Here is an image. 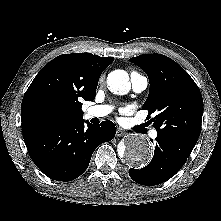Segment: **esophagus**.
<instances>
[{"mask_svg":"<svg viewBox=\"0 0 221 221\" xmlns=\"http://www.w3.org/2000/svg\"><path fill=\"white\" fill-rule=\"evenodd\" d=\"M126 133L121 128H117L116 130V136L117 137H123Z\"/></svg>","mask_w":221,"mask_h":221,"instance_id":"obj_1","label":"esophagus"}]
</instances>
